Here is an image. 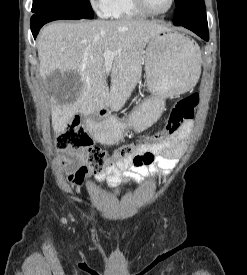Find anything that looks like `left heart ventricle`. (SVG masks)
<instances>
[{"label": "left heart ventricle", "mask_w": 247, "mask_h": 275, "mask_svg": "<svg viewBox=\"0 0 247 275\" xmlns=\"http://www.w3.org/2000/svg\"><path fill=\"white\" fill-rule=\"evenodd\" d=\"M153 11H164L170 5V0H145Z\"/></svg>", "instance_id": "1"}]
</instances>
